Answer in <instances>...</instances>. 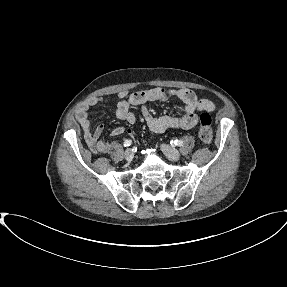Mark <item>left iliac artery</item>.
<instances>
[{"mask_svg": "<svg viewBox=\"0 0 287 287\" xmlns=\"http://www.w3.org/2000/svg\"><path fill=\"white\" fill-rule=\"evenodd\" d=\"M171 144H175L177 146H182L183 142L181 140L174 139V140H171Z\"/></svg>", "mask_w": 287, "mask_h": 287, "instance_id": "1", "label": "left iliac artery"}]
</instances>
